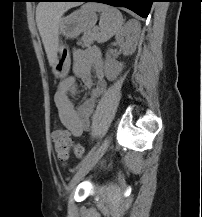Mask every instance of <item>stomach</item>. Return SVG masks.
<instances>
[{
    "mask_svg": "<svg viewBox=\"0 0 202 217\" xmlns=\"http://www.w3.org/2000/svg\"><path fill=\"white\" fill-rule=\"evenodd\" d=\"M97 22L95 11L85 6L60 20L59 34L66 38H75L80 33L91 30ZM70 69V53L67 46L60 43L56 51L53 73L57 78H64Z\"/></svg>",
    "mask_w": 202,
    "mask_h": 217,
    "instance_id": "obj_1",
    "label": "stomach"
}]
</instances>
